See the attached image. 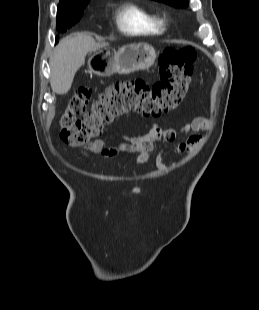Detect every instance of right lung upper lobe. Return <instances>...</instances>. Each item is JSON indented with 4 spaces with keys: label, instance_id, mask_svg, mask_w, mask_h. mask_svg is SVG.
Here are the masks:
<instances>
[{
    "label": "right lung upper lobe",
    "instance_id": "cb5924a9",
    "mask_svg": "<svg viewBox=\"0 0 259 310\" xmlns=\"http://www.w3.org/2000/svg\"><path fill=\"white\" fill-rule=\"evenodd\" d=\"M82 1H86V0H60L59 5H58V9H60V8H71V7L77 6Z\"/></svg>",
    "mask_w": 259,
    "mask_h": 310
}]
</instances>
